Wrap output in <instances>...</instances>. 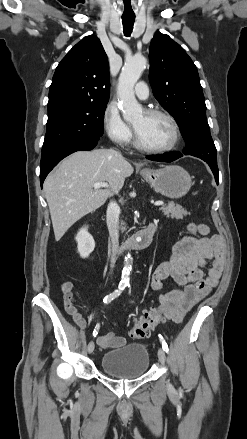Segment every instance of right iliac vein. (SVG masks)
<instances>
[{
	"label": "right iliac vein",
	"mask_w": 247,
	"mask_h": 439,
	"mask_svg": "<svg viewBox=\"0 0 247 439\" xmlns=\"http://www.w3.org/2000/svg\"><path fill=\"white\" fill-rule=\"evenodd\" d=\"M94 347H95L94 342L91 341V342L88 344V347H87V350H88V352H89L90 354L94 351Z\"/></svg>",
	"instance_id": "obj_1"
}]
</instances>
